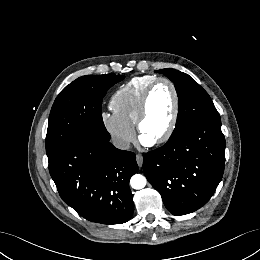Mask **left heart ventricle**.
I'll list each match as a JSON object with an SVG mask.
<instances>
[{"label":"left heart ventricle","mask_w":260,"mask_h":260,"mask_svg":"<svg viewBox=\"0 0 260 260\" xmlns=\"http://www.w3.org/2000/svg\"><path fill=\"white\" fill-rule=\"evenodd\" d=\"M174 109V96L171 88L159 84L151 95L148 113L142 124V136L152 141L167 130Z\"/></svg>","instance_id":"b2bd125f"}]
</instances>
